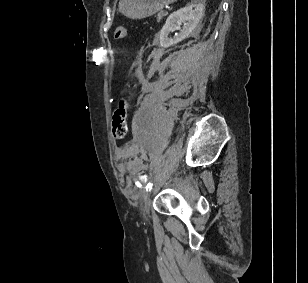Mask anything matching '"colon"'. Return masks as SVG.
I'll list each match as a JSON object with an SVG mask.
<instances>
[{
	"label": "colon",
	"mask_w": 308,
	"mask_h": 283,
	"mask_svg": "<svg viewBox=\"0 0 308 283\" xmlns=\"http://www.w3.org/2000/svg\"><path fill=\"white\" fill-rule=\"evenodd\" d=\"M128 35L127 29L124 27H118L114 31L115 39H124ZM128 101L124 98L120 99L117 107L112 115V135L115 139L121 140L125 138L128 130L127 118H128Z\"/></svg>",
	"instance_id": "5ec220e1"
}]
</instances>
